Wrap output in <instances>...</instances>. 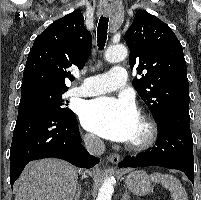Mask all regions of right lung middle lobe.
Returning a JSON list of instances; mask_svg holds the SVG:
<instances>
[{"label": "right lung middle lobe", "instance_id": "obj_1", "mask_svg": "<svg viewBox=\"0 0 201 200\" xmlns=\"http://www.w3.org/2000/svg\"><path fill=\"white\" fill-rule=\"evenodd\" d=\"M63 93L64 91H37L21 94L18 114L33 109H49L64 115L73 113L64 107Z\"/></svg>", "mask_w": 201, "mask_h": 200}]
</instances>
